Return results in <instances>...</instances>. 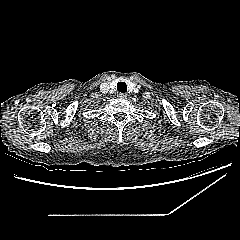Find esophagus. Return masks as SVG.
Returning a JSON list of instances; mask_svg holds the SVG:
<instances>
[{"instance_id":"1","label":"esophagus","mask_w":240,"mask_h":240,"mask_svg":"<svg viewBox=\"0 0 240 240\" xmlns=\"http://www.w3.org/2000/svg\"><path fill=\"white\" fill-rule=\"evenodd\" d=\"M118 97L121 98V99H125L127 97V94L126 93H119Z\"/></svg>"}]
</instances>
